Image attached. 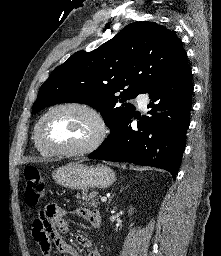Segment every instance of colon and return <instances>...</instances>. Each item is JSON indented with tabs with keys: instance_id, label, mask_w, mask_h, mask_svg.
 Returning <instances> with one entry per match:
<instances>
[{
	"instance_id": "1",
	"label": "colon",
	"mask_w": 221,
	"mask_h": 256,
	"mask_svg": "<svg viewBox=\"0 0 221 256\" xmlns=\"http://www.w3.org/2000/svg\"><path fill=\"white\" fill-rule=\"evenodd\" d=\"M25 201L30 207L36 206L45 193V182L38 168L28 166L24 171Z\"/></svg>"
}]
</instances>
